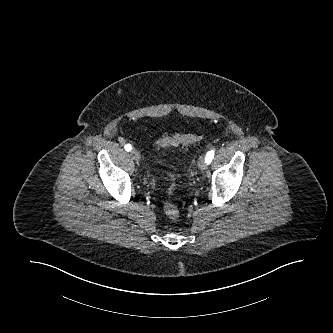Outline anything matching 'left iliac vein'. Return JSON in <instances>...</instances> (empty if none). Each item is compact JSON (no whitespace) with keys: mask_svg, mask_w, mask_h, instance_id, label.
<instances>
[{"mask_svg":"<svg viewBox=\"0 0 333 333\" xmlns=\"http://www.w3.org/2000/svg\"><path fill=\"white\" fill-rule=\"evenodd\" d=\"M198 167L200 170H205L207 169V164L205 162V157L204 156H201L199 159H198Z\"/></svg>","mask_w":333,"mask_h":333,"instance_id":"obj_1","label":"left iliac vein"}]
</instances>
